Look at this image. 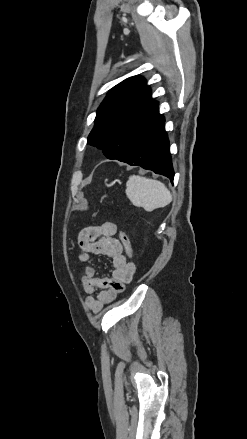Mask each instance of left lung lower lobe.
<instances>
[{
  "mask_svg": "<svg viewBox=\"0 0 247 439\" xmlns=\"http://www.w3.org/2000/svg\"><path fill=\"white\" fill-rule=\"evenodd\" d=\"M164 125L165 119L158 111L138 132L122 162L152 170L172 182L174 172Z\"/></svg>",
  "mask_w": 247,
  "mask_h": 439,
  "instance_id": "left-lung-lower-lobe-1",
  "label": "left lung lower lobe"
}]
</instances>
